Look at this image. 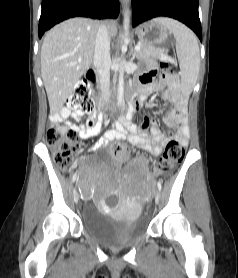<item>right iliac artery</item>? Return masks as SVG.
Wrapping results in <instances>:
<instances>
[{"label":"right iliac artery","instance_id":"1","mask_svg":"<svg viewBox=\"0 0 238 278\" xmlns=\"http://www.w3.org/2000/svg\"><path fill=\"white\" fill-rule=\"evenodd\" d=\"M76 178H77V173H74L73 177H72V181L74 182L76 180Z\"/></svg>","mask_w":238,"mask_h":278}]
</instances>
